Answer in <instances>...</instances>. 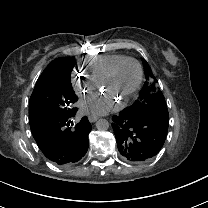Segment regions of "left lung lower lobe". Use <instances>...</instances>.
<instances>
[{"label":"left lung lower lobe","mask_w":208,"mask_h":208,"mask_svg":"<svg viewBox=\"0 0 208 208\" xmlns=\"http://www.w3.org/2000/svg\"><path fill=\"white\" fill-rule=\"evenodd\" d=\"M112 120L118 150L129 162L148 161L161 150L168 131L167 124L124 110L114 115Z\"/></svg>","instance_id":"0a47b994"}]
</instances>
